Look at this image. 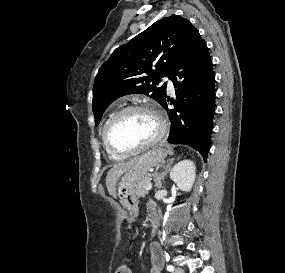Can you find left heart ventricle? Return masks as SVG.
<instances>
[{"mask_svg": "<svg viewBox=\"0 0 285 273\" xmlns=\"http://www.w3.org/2000/svg\"><path fill=\"white\" fill-rule=\"evenodd\" d=\"M157 131V123L150 114L131 111L116 122L111 132V140L121 149H132L153 139Z\"/></svg>", "mask_w": 285, "mask_h": 273, "instance_id": "1", "label": "left heart ventricle"}]
</instances>
